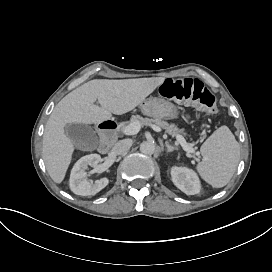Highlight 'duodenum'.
<instances>
[{
	"label": "duodenum",
	"instance_id": "duodenum-1",
	"mask_svg": "<svg viewBox=\"0 0 272 272\" xmlns=\"http://www.w3.org/2000/svg\"><path fill=\"white\" fill-rule=\"evenodd\" d=\"M101 143L99 146V151L101 153H106L117 138V129L118 126L113 120H104L99 125Z\"/></svg>",
	"mask_w": 272,
	"mask_h": 272
}]
</instances>
